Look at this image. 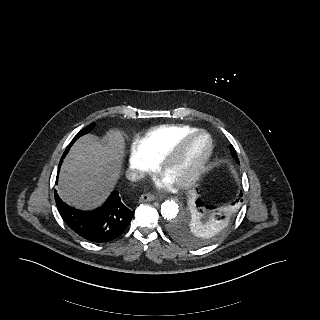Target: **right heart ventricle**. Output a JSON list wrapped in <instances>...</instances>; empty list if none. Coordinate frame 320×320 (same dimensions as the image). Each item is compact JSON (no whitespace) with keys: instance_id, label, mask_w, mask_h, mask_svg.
<instances>
[{"instance_id":"right-heart-ventricle-1","label":"right heart ventricle","mask_w":320,"mask_h":320,"mask_svg":"<svg viewBox=\"0 0 320 320\" xmlns=\"http://www.w3.org/2000/svg\"><path fill=\"white\" fill-rule=\"evenodd\" d=\"M196 128L189 125H161L147 131L136 147L149 159L159 162L185 134Z\"/></svg>"}]
</instances>
